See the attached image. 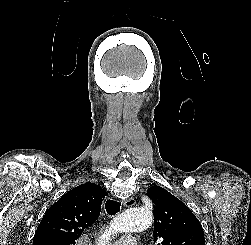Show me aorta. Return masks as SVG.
Wrapping results in <instances>:
<instances>
[{"label":"aorta","instance_id":"1","mask_svg":"<svg viewBox=\"0 0 251 245\" xmlns=\"http://www.w3.org/2000/svg\"><path fill=\"white\" fill-rule=\"evenodd\" d=\"M153 222L152 212L144 208H130L115 218L101 236L99 245H107L111 235L117 233H134L145 230Z\"/></svg>","mask_w":251,"mask_h":245}]
</instances>
